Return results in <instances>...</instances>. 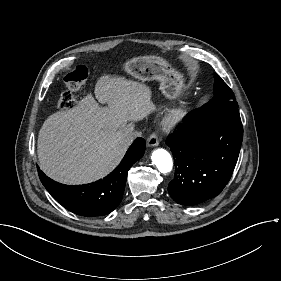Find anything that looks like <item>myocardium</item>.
Returning a JSON list of instances; mask_svg holds the SVG:
<instances>
[{"instance_id": "obj_1", "label": "myocardium", "mask_w": 281, "mask_h": 281, "mask_svg": "<svg viewBox=\"0 0 281 281\" xmlns=\"http://www.w3.org/2000/svg\"><path fill=\"white\" fill-rule=\"evenodd\" d=\"M185 110L182 107L173 109L164 119V127L167 130H172L178 126L185 118Z\"/></svg>"}]
</instances>
